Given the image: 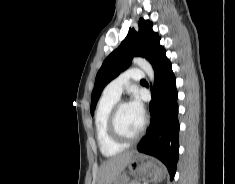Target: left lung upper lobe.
<instances>
[{"mask_svg": "<svg viewBox=\"0 0 235 184\" xmlns=\"http://www.w3.org/2000/svg\"><path fill=\"white\" fill-rule=\"evenodd\" d=\"M139 30L130 29L127 37L120 46L114 50L103 62L97 73L94 89L91 97V114L95 110L97 101L103 88L122 71L127 69L134 56L146 58L150 63L159 46L160 38L152 30V22L139 20Z\"/></svg>", "mask_w": 235, "mask_h": 184, "instance_id": "5c2ea615", "label": "left lung upper lobe"}]
</instances>
